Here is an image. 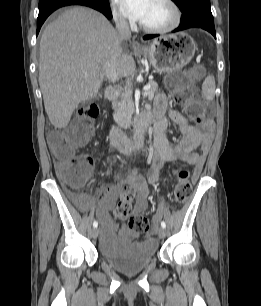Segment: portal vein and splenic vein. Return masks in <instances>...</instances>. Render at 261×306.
Masks as SVG:
<instances>
[{
	"instance_id": "obj_1",
	"label": "portal vein and splenic vein",
	"mask_w": 261,
	"mask_h": 306,
	"mask_svg": "<svg viewBox=\"0 0 261 306\" xmlns=\"http://www.w3.org/2000/svg\"><path fill=\"white\" fill-rule=\"evenodd\" d=\"M149 89H150V85L149 84L144 87V90H145L144 96H147L149 94ZM149 99L150 100L153 99V96H150Z\"/></svg>"
}]
</instances>
